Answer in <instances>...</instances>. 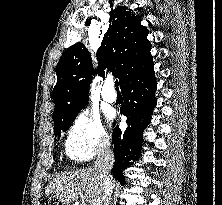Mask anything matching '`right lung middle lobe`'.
Returning a JSON list of instances; mask_svg holds the SVG:
<instances>
[{
	"mask_svg": "<svg viewBox=\"0 0 222 205\" xmlns=\"http://www.w3.org/2000/svg\"><path fill=\"white\" fill-rule=\"evenodd\" d=\"M77 115H78V113L75 114V115H72L70 117L54 121V133H55V135H59V137H60L61 130L66 131L72 125V123L75 120Z\"/></svg>",
	"mask_w": 222,
	"mask_h": 205,
	"instance_id": "obj_1",
	"label": "right lung middle lobe"
}]
</instances>
